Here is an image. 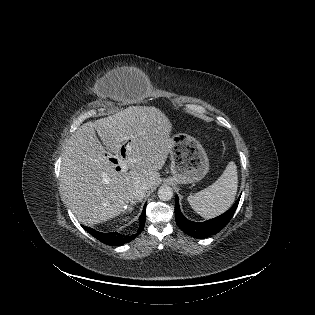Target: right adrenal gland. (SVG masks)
Wrapping results in <instances>:
<instances>
[{"mask_svg": "<svg viewBox=\"0 0 315 315\" xmlns=\"http://www.w3.org/2000/svg\"><path fill=\"white\" fill-rule=\"evenodd\" d=\"M138 201H133L131 203V205L129 206V210L132 211L134 209V205L137 203Z\"/></svg>", "mask_w": 315, "mask_h": 315, "instance_id": "right-adrenal-gland-1", "label": "right adrenal gland"}]
</instances>
